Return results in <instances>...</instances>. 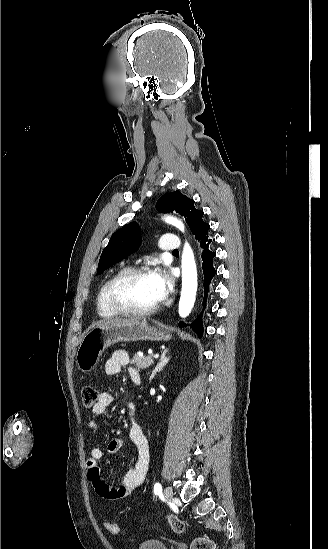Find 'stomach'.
I'll return each mask as SVG.
<instances>
[{"instance_id":"1","label":"stomach","mask_w":328,"mask_h":549,"mask_svg":"<svg viewBox=\"0 0 328 549\" xmlns=\"http://www.w3.org/2000/svg\"><path fill=\"white\" fill-rule=\"evenodd\" d=\"M129 325L91 327L84 333L76 353L79 371L90 373L105 349L122 341H170L172 335L165 327H151L147 319H134Z\"/></svg>"}]
</instances>
